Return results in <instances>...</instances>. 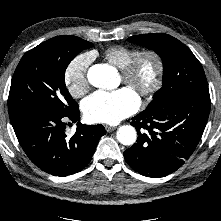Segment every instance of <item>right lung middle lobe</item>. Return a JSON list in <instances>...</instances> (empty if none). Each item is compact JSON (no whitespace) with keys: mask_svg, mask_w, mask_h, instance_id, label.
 <instances>
[{"mask_svg":"<svg viewBox=\"0 0 221 221\" xmlns=\"http://www.w3.org/2000/svg\"><path fill=\"white\" fill-rule=\"evenodd\" d=\"M92 43L76 36H57L26 52L11 81L9 116L39 110L65 114L78 108L69 94L64 74L69 63Z\"/></svg>","mask_w":221,"mask_h":221,"instance_id":"dd1d6c3e","label":"right lung middle lobe"}]
</instances>
